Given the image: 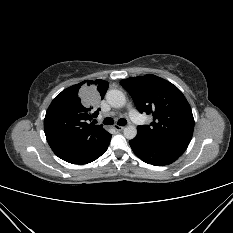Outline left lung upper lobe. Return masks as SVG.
Listing matches in <instances>:
<instances>
[{
  "instance_id": "1",
  "label": "left lung upper lobe",
  "mask_w": 233,
  "mask_h": 233,
  "mask_svg": "<svg viewBox=\"0 0 233 233\" xmlns=\"http://www.w3.org/2000/svg\"><path fill=\"white\" fill-rule=\"evenodd\" d=\"M120 84L140 113L153 115L150 125L137 127V135L152 144L184 152L193 135L194 118L183 93L172 83L151 74L124 79Z\"/></svg>"
}]
</instances>
